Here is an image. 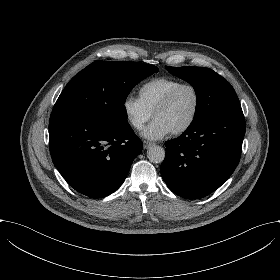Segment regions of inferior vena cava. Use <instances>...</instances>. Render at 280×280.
Returning <instances> with one entry per match:
<instances>
[{"instance_id": "602c4592", "label": "inferior vena cava", "mask_w": 280, "mask_h": 280, "mask_svg": "<svg viewBox=\"0 0 280 280\" xmlns=\"http://www.w3.org/2000/svg\"><path fill=\"white\" fill-rule=\"evenodd\" d=\"M134 126L138 127L140 125L139 122H137L136 120L133 121Z\"/></svg>"}]
</instances>
